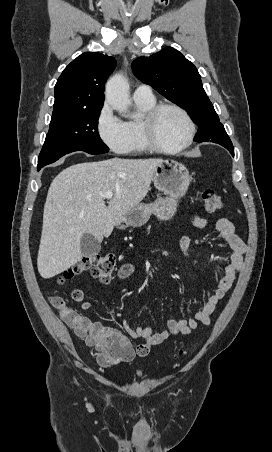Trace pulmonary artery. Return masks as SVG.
<instances>
[{
    "instance_id": "pulmonary-artery-1",
    "label": "pulmonary artery",
    "mask_w": 272,
    "mask_h": 452,
    "mask_svg": "<svg viewBox=\"0 0 272 452\" xmlns=\"http://www.w3.org/2000/svg\"><path fill=\"white\" fill-rule=\"evenodd\" d=\"M135 99H154V94L152 88L149 85L141 84L139 85L133 93Z\"/></svg>"
}]
</instances>
